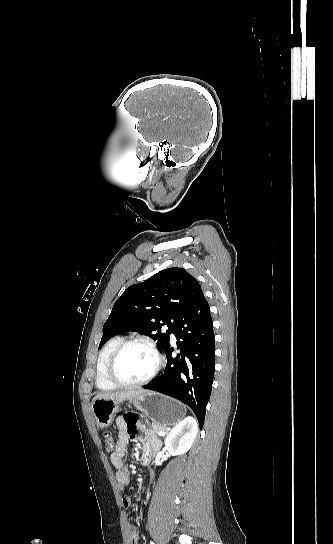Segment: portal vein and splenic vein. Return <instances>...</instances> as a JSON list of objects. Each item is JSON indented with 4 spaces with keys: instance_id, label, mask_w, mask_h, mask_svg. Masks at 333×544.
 <instances>
[{
    "instance_id": "obj_1",
    "label": "portal vein and splenic vein",
    "mask_w": 333,
    "mask_h": 544,
    "mask_svg": "<svg viewBox=\"0 0 333 544\" xmlns=\"http://www.w3.org/2000/svg\"><path fill=\"white\" fill-rule=\"evenodd\" d=\"M159 436H164L165 435V432L161 431L158 433Z\"/></svg>"
}]
</instances>
